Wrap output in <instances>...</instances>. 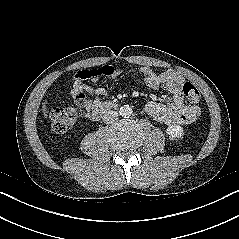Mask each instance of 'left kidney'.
Segmentation results:
<instances>
[{
    "mask_svg": "<svg viewBox=\"0 0 239 239\" xmlns=\"http://www.w3.org/2000/svg\"><path fill=\"white\" fill-rule=\"evenodd\" d=\"M166 133L173 138H181L184 134L183 128L179 125H171L166 129Z\"/></svg>",
    "mask_w": 239,
    "mask_h": 239,
    "instance_id": "left-kidney-1",
    "label": "left kidney"
}]
</instances>
